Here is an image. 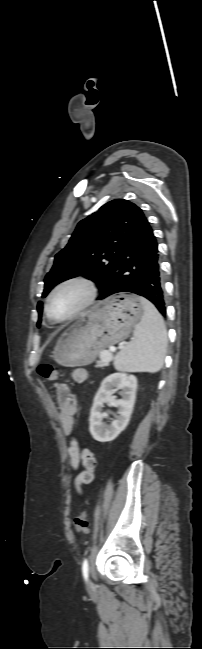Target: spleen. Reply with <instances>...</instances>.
Here are the masks:
<instances>
[{"label": "spleen", "instance_id": "3e777b00", "mask_svg": "<svg viewBox=\"0 0 202 649\" xmlns=\"http://www.w3.org/2000/svg\"><path fill=\"white\" fill-rule=\"evenodd\" d=\"M144 313L135 326L133 340L114 359V367L125 372H157L163 365L167 332L161 314L147 299L140 297Z\"/></svg>", "mask_w": 202, "mask_h": 649}]
</instances>
